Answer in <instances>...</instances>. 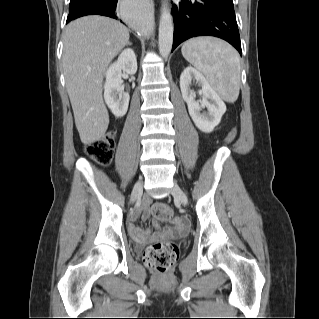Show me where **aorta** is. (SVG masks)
<instances>
[{
	"label": "aorta",
	"mask_w": 319,
	"mask_h": 319,
	"mask_svg": "<svg viewBox=\"0 0 319 319\" xmlns=\"http://www.w3.org/2000/svg\"><path fill=\"white\" fill-rule=\"evenodd\" d=\"M139 28L148 30V24L140 22ZM173 44V20L168 4L164 2L161 8L159 23V53L163 58H167L171 52Z\"/></svg>",
	"instance_id": "762f6f07"
}]
</instances>
